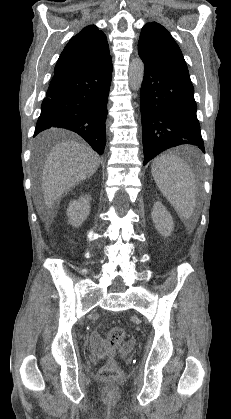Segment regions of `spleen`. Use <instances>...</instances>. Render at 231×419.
Masks as SVG:
<instances>
[{
    "label": "spleen",
    "mask_w": 231,
    "mask_h": 419,
    "mask_svg": "<svg viewBox=\"0 0 231 419\" xmlns=\"http://www.w3.org/2000/svg\"><path fill=\"white\" fill-rule=\"evenodd\" d=\"M152 176L167 200L184 219H189L196 204V181L190 166L180 157L164 154L153 160Z\"/></svg>",
    "instance_id": "spleen-1"
}]
</instances>
